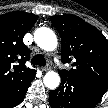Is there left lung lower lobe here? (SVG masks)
<instances>
[{"label": "left lung lower lobe", "instance_id": "obj_1", "mask_svg": "<svg viewBox=\"0 0 108 108\" xmlns=\"http://www.w3.org/2000/svg\"><path fill=\"white\" fill-rule=\"evenodd\" d=\"M59 88L49 93L52 108H93L101 100L108 83L61 74Z\"/></svg>", "mask_w": 108, "mask_h": 108}]
</instances>
